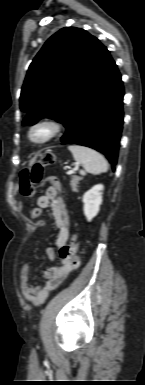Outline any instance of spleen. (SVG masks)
Here are the masks:
<instances>
[{
  "instance_id": "spleen-1",
  "label": "spleen",
  "mask_w": 145,
  "mask_h": 385,
  "mask_svg": "<svg viewBox=\"0 0 145 385\" xmlns=\"http://www.w3.org/2000/svg\"><path fill=\"white\" fill-rule=\"evenodd\" d=\"M68 149L73 154L75 161L82 164L84 170H80L81 175L99 174L108 170L107 161L97 151L81 145H70Z\"/></svg>"
}]
</instances>
